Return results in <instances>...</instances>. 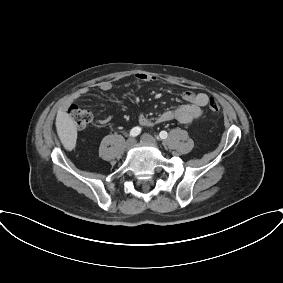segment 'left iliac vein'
<instances>
[{
	"instance_id": "left-iliac-vein-1",
	"label": "left iliac vein",
	"mask_w": 283,
	"mask_h": 283,
	"mask_svg": "<svg viewBox=\"0 0 283 283\" xmlns=\"http://www.w3.org/2000/svg\"><path fill=\"white\" fill-rule=\"evenodd\" d=\"M141 140L145 143H149V144H152V145L157 144L155 138L152 137L150 134H147V133H145L141 136Z\"/></svg>"
}]
</instances>
